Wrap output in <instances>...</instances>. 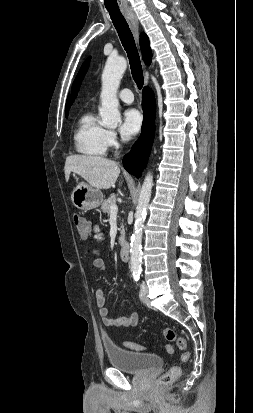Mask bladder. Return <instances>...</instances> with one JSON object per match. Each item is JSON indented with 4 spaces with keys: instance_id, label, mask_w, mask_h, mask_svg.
<instances>
[{
    "instance_id": "1",
    "label": "bladder",
    "mask_w": 253,
    "mask_h": 413,
    "mask_svg": "<svg viewBox=\"0 0 253 413\" xmlns=\"http://www.w3.org/2000/svg\"><path fill=\"white\" fill-rule=\"evenodd\" d=\"M103 349L109 363L126 373L141 374L163 365L162 357L157 354L131 351L108 340L103 341Z\"/></svg>"
}]
</instances>
